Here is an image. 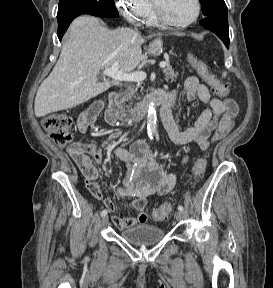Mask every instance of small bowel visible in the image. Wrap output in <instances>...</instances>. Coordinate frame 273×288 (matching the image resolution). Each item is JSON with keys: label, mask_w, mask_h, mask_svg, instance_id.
Returning <instances> with one entry per match:
<instances>
[{"label": "small bowel", "mask_w": 273, "mask_h": 288, "mask_svg": "<svg viewBox=\"0 0 273 288\" xmlns=\"http://www.w3.org/2000/svg\"><path fill=\"white\" fill-rule=\"evenodd\" d=\"M184 91L188 100L198 98L205 104V109L194 125L184 130L177 127L172 115L164 125L171 141L175 144L185 145L195 142L202 150H206L211 143L224 138L232 130L238 114V106L230 98L212 97L208 87L196 77H188L185 80ZM177 93V90H172L167 94L174 101ZM101 107L100 103H95L79 115L77 119L79 132L86 133L91 128ZM107 120L117 125L108 116ZM119 136L120 131L116 129L112 138ZM68 154L82 172L89 192L95 198L101 199L110 211H114L115 204L112 200L103 198L98 184L99 174L96 165L103 158L104 148H99L95 143H74L68 148ZM114 154L126 164L122 186L114 188V192L119 196L132 198V207L137 211V215L113 216L112 221L120 229L145 224L148 219L145 212L147 197L169 193L175 186L177 175L164 172L143 141L135 142L129 149L116 148ZM186 161L187 158H183L182 162Z\"/></svg>", "instance_id": "c3829d8e"}]
</instances>
